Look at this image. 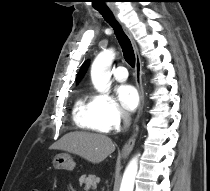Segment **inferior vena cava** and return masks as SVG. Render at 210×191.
I'll return each mask as SVG.
<instances>
[{
    "label": "inferior vena cava",
    "instance_id": "602c4592",
    "mask_svg": "<svg viewBox=\"0 0 210 191\" xmlns=\"http://www.w3.org/2000/svg\"><path fill=\"white\" fill-rule=\"evenodd\" d=\"M122 119L124 122V128H128L130 126V121H131L129 114L128 113L123 114Z\"/></svg>",
    "mask_w": 210,
    "mask_h": 191
}]
</instances>
